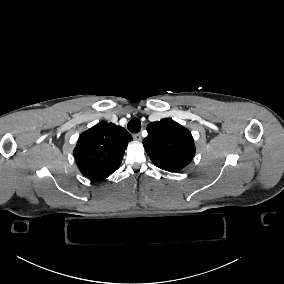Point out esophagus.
<instances>
[{"label": "esophagus", "instance_id": "obj_1", "mask_svg": "<svg viewBox=\"0 0 284 284\" xmlns=\"http://www.w3.org/2000/svg\"><path fill=\"white\" fill-rule=\"evenodd\" d=\"M133 138H134V140L135 141H139V142H141L142 141V137H141V134H139V133H135V134H133Z\"/></svg>", "mask_w": 284, "mask_h": 284}]
</instances>
